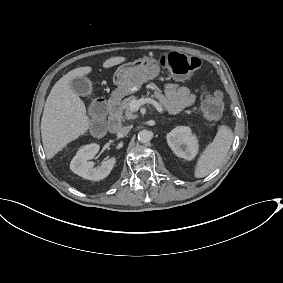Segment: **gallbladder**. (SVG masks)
Here are the masks:
<instances>
[{
  "label": "gallbladder",
  "mask_w": 283,
  "mask_h": 283,
  "mask_svg": "<svg viewBox=\"0 0 283 283\" xmlns=\"http://www.w3.org/2000/svg\"><path fill=\"white\" fill-rule=\"evenodd\" d=\"M70 86L79 95H87L91 91V82L86 77L73 79Z\"/></svg>",
  "instance_id": "obj_1"
}]
</instances>
